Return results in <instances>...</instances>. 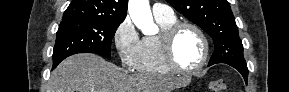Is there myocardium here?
<instances>
[{"mask_svg": "<svg viewBox=\"0 0 289 92\" xmlns=\"http://www.w3.org/2000/svg\"><path fill=\"white\" fill-rule=\"evenodd\" d=\"M185 28L194 30L200 37L202 44H203L202 59L200 63L192 69H185L179 66L175 60L174 52H173L175 39L177 35L179 34V32ZM159 42H160V49H161L163 60L165 64L167 65V67L172 72L179 73V74H186V75L194 74V73L201 71L205 67L208 61L209 54H210L209 40L205 32L198 25L194 23L176 22L170 25L169 27H167L161 32Z\"/></svg>", "mask_w": 289, "mask_h": 92, "instance_id": "myocardium-1", "label": "myocardium"}]
</instances>
